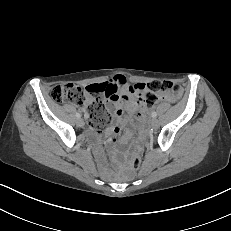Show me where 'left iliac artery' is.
Segmentation results:
<instances>
[{"label":"left iliac artery","instance_id":"1","mask_svg":"<svg viewBox=\"0 0 231 231\" xmlns=\"http://www.w3.org/2000/svg\"><path fill=\"white\" fill-rule=\"evenodd\" d=\"M151 116H152L153 118H155V117H157V113H156V112H152Z\"/></svg>","mask_w":231,"mask_h":231}]
</instances>
